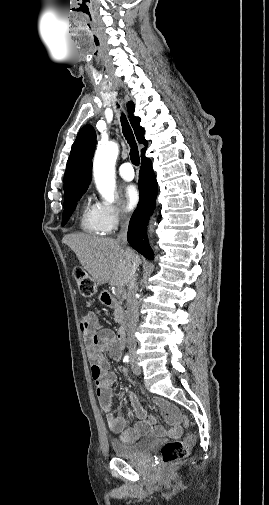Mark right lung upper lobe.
Wrapping results in <instances>:
<instances>
[{
    "instance_id": "obj_1",
    "label": "right lung upper lobe",
    "mask_w": 269,
    "mask_h": 505,
    "mask_svg": "<svg viewBox=\"0 0 269 505\" xmlns=\"http://www.w3.org/2000/svg\"><path fill=\"white\" fill-rule=\"evenodd\" d=\"M127 110L131 125L134 129L139 143L144 144L141 150L142 158L148 146L144 138V128L140 126V118L133 115L135 105L133 102L127 103ZM96 144V134L92 126H84L77 135L73 143L71 153L67 162L64 176V200L86 191L91 181V170L93 152Z\"/></svg>"
}]
</instances>
